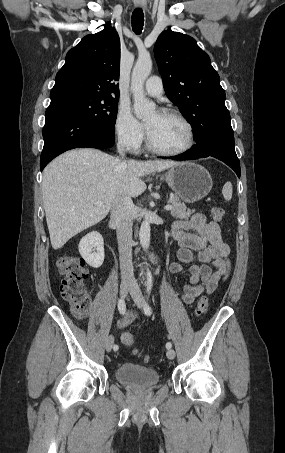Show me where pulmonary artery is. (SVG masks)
Here are the masks:
<instances>
[{"label": "pulmonary artery", "mask_w": 285, "mask_h": 453, "mask_svg": "<svg viewBox=\"0 0 285 453\" xmlns=\"http://www.w3.org/2000/svg\"><path fill=\"white\" fill-rule=\"evenodd\" d=\"M144 92L150 97H159L163 93L162 80L158 76H151L145 83Z\"/></svg>", "instance_id": "pulmonary-artery-1"}]
</instances>
